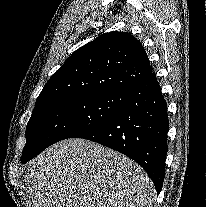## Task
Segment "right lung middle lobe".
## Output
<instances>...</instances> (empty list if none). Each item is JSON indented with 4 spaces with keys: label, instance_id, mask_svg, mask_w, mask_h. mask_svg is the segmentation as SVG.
Returning <instances> with one entry per match:
<instances>
[{
    "label": "right lung middle lobe",
    "instance_id": "right-lung-middle-lobe-1",
    "mask_svg": "<svg viewBox=\"0 0 206 207\" xmlns=\"http://www.w3.org/2000/svg\"><path fill=\"white\" fill-rule=\"evenodd\" d=\"M125 94L65 96L36 104L26 129L21 160L33 158L45 148L98 126L116 114Z\"/></svg>",
    "mask_w": 206,
    "mask_h": 207
}]
</instances>
